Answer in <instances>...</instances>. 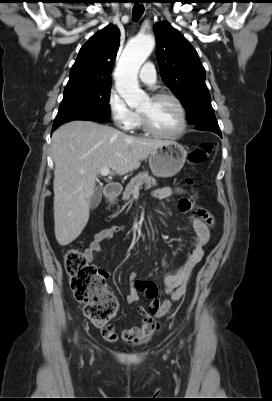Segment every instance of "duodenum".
<instances>
[{
  "instance_id": "410a0bca",
  "label": "duodenum",
  "mask_w": 272,
  "mask_h": 401,
  "mask_svg": "<svg viewBox=\"0 0 272 401\" xmlns=\"http://www.w3.org/2000/svg\"><path fill=\"white\" fill-rule=\"evenodd\" d=\"M121 191V185L112 183L105 188V195L108 200L114 201L120 195Z\"/></svg>"
}]
</instances>
